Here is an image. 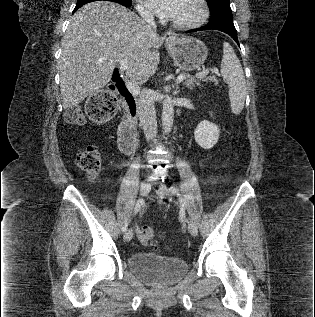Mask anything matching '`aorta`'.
I'll use <instances>...</instances> for the list:
<instances>
[{
	"label": "aorta",
	"instance_id": "obj_1",
	"mask_svg": "<svg viewBox=\"0 0 315 317\" xmlns=\"http://www.w3.org/2000/svg\"><path fill=\"white\" fill-rule=\"evenodd\" d=\"M174 106L172 99L167 97L163 103L162 110V127L165 133H169L173 126Z\"/></svg>",
	"mask_w": 315,
	"mask_h": 317
}]
</instances>
